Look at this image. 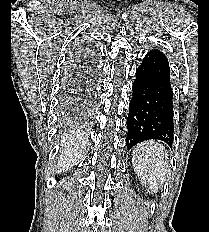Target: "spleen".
<instances>
[{
	"instance_id": "3e777b00",
	"label": "spleen",
	"mask_w": 209,
	"mask_h": 232,
	"mask_svg": "<svg viewBox=\"0 0 209 232\" xmlns=\"http://www.w3.org/2000/svg\"><path fill=\"white\" fill-rule=\"evenodd\" d=\"M167 160L165 147L155 141L140 143L133 150L132 163L135 172L154 191H158L166 181Z\"/></svg>"
}]
</instances>
